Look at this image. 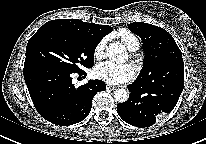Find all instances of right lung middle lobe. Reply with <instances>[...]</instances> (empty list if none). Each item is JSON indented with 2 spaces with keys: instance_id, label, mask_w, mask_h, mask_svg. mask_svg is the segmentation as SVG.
I'll use <instances>...</instances> for the list:
<instances>
[{
  "instance_id": "1",
  "label": "right lung middle lobe",
  "mask_w": 206,
  "mask_h": 144,
  "mask_svg": "<svg viewBox=\"0 0 206 144\" xmlns=\"http://www.w3.org/2000/svg\"><path fill=\"white\" fill-rule=\"evenodd\" d=\"M100 41L73 28L45 23L28 41L24 67L47 65L81 72V66L93 67L95 48Z\"/></svg>"
}]
</instances>
